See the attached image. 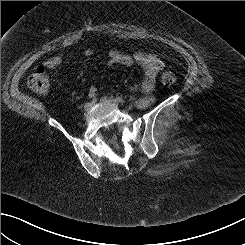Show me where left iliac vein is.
<instances>
[{
  "label": "left iliac vein",
  "mask_w": 245,
  "mask_h": 245,
  "mask_svg": "<svg viewBox=\"0 0 245 245\" xmlns=\"http://www.w3.org/2000/svg\"><path fill=\"white\" fill-rule=\"evenodd\" d=\"M100 101L103 102V103L111 104V105H113L115 107H118L119 106L118 103H117V101L115 99L110 98V97H107V96L102 97L100 99Z\"/></svg>",
  "instance_id": "obj_1"
}]
</instances>
